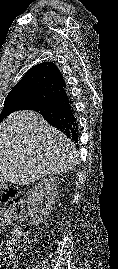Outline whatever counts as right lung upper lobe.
I'll use <instances>...</instances> for the list:
<instances>
[{
  "label": "right lung upper lobe",
  "instance_id": "cb5924a9",
  "mask_svg": "<svg viewBox=\"0 0 118 269\" xmlns=\"http://www.w3.org/2000/svg\"><path fill=\"white\" fill-rule=\"evenodd\" d=\"M65 88V81L57 66L53 62H43L29 69L8 95H22L27 108Z\"/></svg>",
  "mask_w": 118,
  "mask_h": 269
}]
</instances>
